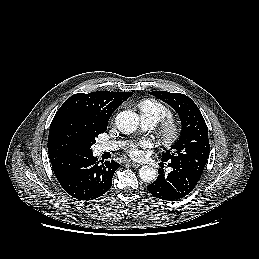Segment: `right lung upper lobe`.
Listing matches in <instances>:
<instances>
[{
  "mask_svg": "<svg viewBox=\"0 0 259 259\" xmlns=\"http://www.w3.org/2000/svg\"><path fill=\"white\" fill-rule=\"evenodd\" d=\"M132 95V92L105 91L74 94L57 111L50 130L62 121H71L103 133L107 129L110 115Z\"/></svg>",
  "mask_w": 259,
  "mask_h": 259,
  "instance_id": "obj_1",
  "label": "right lung upper lobe"
}]
</instances>
